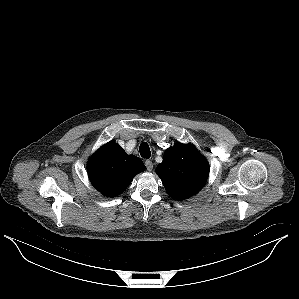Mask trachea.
Segmentation results:
<instances>
[{"label":"trachea","instance_id":"trachea-1","mask_svg":"<svg viewBox=\"0 0 299 299\" xmlns=\"http://www.w3.org/2000/svg\"><path fill=\"white\" fill-rule=\"evenodd\" d=\"M139 150H140V155L143 158H146V159L150 158L151 151H150L149 145L146 142L141 143Z\"/></svg>","mask_w":299,"mask_h":299}]
</instances>
